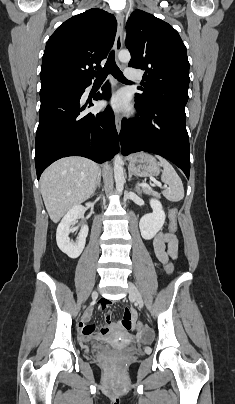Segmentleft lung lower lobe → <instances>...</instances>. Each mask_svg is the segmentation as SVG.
<instances>
[{
  "label": "left lung lower lobe",
  "instance_id": "0a47b994",
  "mask_svg": "<svg viewBox=\"0 0 235 404\" xmlns=\"http://www.w3.org/2000/svg\"><path fill=\"white\" fill-rule=\"evenodd\" d=\"M135 102L140 117L122 120V154L126 156L139 151L158 154L182 169L189 179L190 151L185 104L171 100L149 105Z\"/></svg>",
  "mask_w": 235,
  "mask_h": 404
}]
</instances>
